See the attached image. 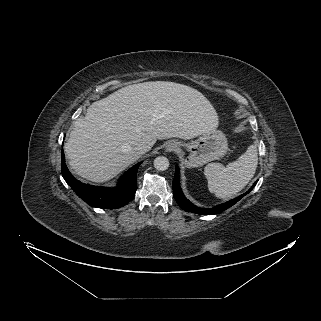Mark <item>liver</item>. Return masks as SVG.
I'll use <instances>...</instances> for the list:
<instances>
[{"label":"liver","instance_id":"liver-1","mask_svg":"<svg viewBox=\"0 0 321 321\" xmlns=\"http://www.w3.org/2000/svg\"><path fill=\"white\" fill-rule=\"evenodd\" d=\"M218 126V115L198 90L175 82L129 85L92 103L74 123L64 146L71 168L82 178L103 183L140 158L157 139H192Z\"/></svg>","mask_w":321,"mask_h":321}]
</instances>
